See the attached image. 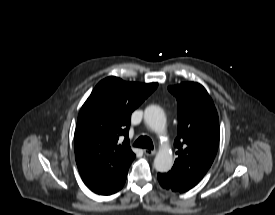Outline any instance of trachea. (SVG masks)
<instances>
[{"label": "trachea", "instance_id": "trachea-1", "mask_svg": "<svg viewBox=\"0 0 275 215\" xmlns=\"http://www.w3.org/2000/svg\"><path fill=\"white\" fill-rule=\"evenodd\" d=\"M133 146L134 147H139V148H147V149L152 150L153 149V142L149 137L141 136L134 142Z\"/></svg>", "mask_w": 275, "mask_h": 215}]
</instances>
